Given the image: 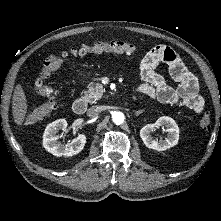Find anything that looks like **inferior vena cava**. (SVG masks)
I'll use <instances>...</instances> for the list:
<instances>
[{
  "label": "inferior vena cava",
  "instance_id": "1",
  "mask_svg": "<svg viewBox=\"0 0 221 221\" xmlns=\"http://www.w3.org/2000/svg\"><path fill=\"white\" fill-rule=\"evenodd\" d=\"M101 112L100 106H92L87 111V116L94 117Z\"/></svg>",
  "mask_w": 221,
  "mask_h": 221
}]
</instances>
